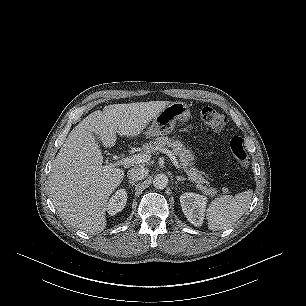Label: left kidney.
<instances>
[{
  "mask_svg": "<svg viewBox=\"0 0 306 306\" xmlns=\"http://www.w3.org/2000/svg\"><path fill=\"white\" fill-rule=\"evenodd\" d=\"M207 202V197L192 192L184 193L180 196L184 215L196 227L203 224Z\"/></svg>",
  "mask_w": 306,
  "mask_h": 306,
  "instance_id": "5707ae66",
  "label": "left kidney"
}]
</instances>
